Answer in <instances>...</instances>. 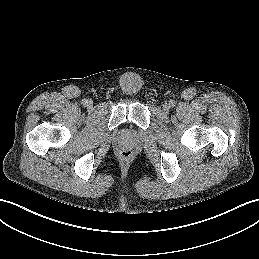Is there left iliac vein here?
Wrapping results in <instances>:
<instances>
[{"instance_id":"1","label":"left iliac vein","mask_w":259,"mask_h":259,"mask_svg":"<svg viewBox=\"0 0 259 259\" xmlns=\"http://www.w3.org/2000/svg\"><path fill=\"white\" fill-rule=\"evenodd\" d=\"M169 109H170V104H169V103H165V104L163 105V110H164L165 112H168Z\"/></svg>"}]
</instances>
